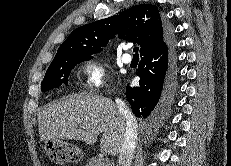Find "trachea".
<instances>
[{
  "label": "trachea",
  "mask_w": 231,
  "mask_h": 166,
  "mask_svg": "<svg viewBox=\"0 0 231 166\" xmlns=\"http://www.w3.org/2000/svg\"><path fill=\"white\" fill-rule=\"evenodd\" d=\"M138 51H139V48H138V47H134V48H133V52H134L133 57H138V56H139V55H138Z\"/></svg>",
  "instance_id": "obj_1"
}]
</instances>
